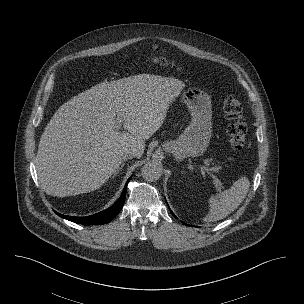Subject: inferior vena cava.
I'll return each mask as SVG.
<instances>
[{
    "label": "inferior vena cava",
    "instance_id": "obj_1",
    "mask_svg": "<svg viewBox=\"0 0 304 304\" xmlns=\"http://www.w3.org/2000/svg\"><path fill=\"white\" fill-rule=\"evenodd\" d=\"M137 156V153L135 150H127L123 155H122V158L123 159H130V158H133V157H136Z\"/></svg>",
    "mask_w": 304,
    "mask_h": 304
}]
</instances>
